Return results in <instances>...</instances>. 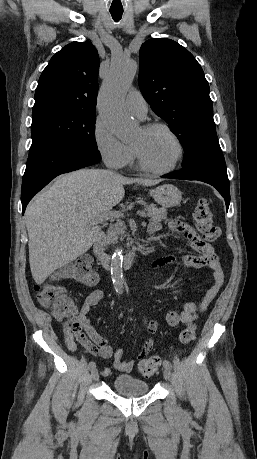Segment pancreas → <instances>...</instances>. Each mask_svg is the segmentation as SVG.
Listing matches in <instances>:
<instances>
[{
	"mask_svg": "<svg viewBox=\"0 0 257 459\" xmlns=\"http://www.w3.org/2000/svg\"><path fill=\"white\" fill-rule=\"evenodd\" d=\"M141 205L144 206L147 215L150 216L153 221L160 222L166 219V208H158L155 204H147L145 202H141ZM125 228L122 221H117L115 224L110 225L105 236V245L117 242L119 236H121L122 240L125 234Z\"/></svg>",
	"mask_w": 257,
	"mask_h": 459,
	"instance_id": "cf45deb5",
	"label": "pancreas"
}]
</instances>
